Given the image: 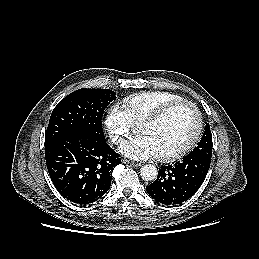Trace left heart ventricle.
<instances>
[{"mask_svg":"<svg viewBox=\"0 0 259 259\" xmlns=\"http://www.w3.org/2000/svg\"><path fill=\"white\" fill-rule=\"evenodd\" d=\"M196 125L195 112L188 106H179L155 124H141L139 132L149 137L158 155H163L181 148L195 132Z\"/></svg>","mask_w":259,"mask_h":259,"instance_id":"left-heart-ventricle-1","label":"left heart ventricle"}]
</instances>
